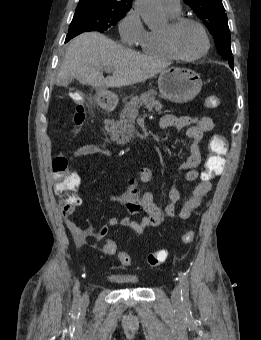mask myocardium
Instances as JSON below:
<instances>
[{
  "instance_id": "f54148a6",
  "label": "myocardium",
  "mask_w": 261,
  "mask_h": 340,
  "mask_svg": "<svg viewBox=\"0 0 261 340\" xmlns=\"http://www.w3.org/2000/svg\"><path fill=\"white\" fill-rule=\"evenodd\" d=\"M188 23L194 24L195 26L199 28L205 41L203 50L200 53L193 55V56H185L179 53V51L175 47V42H174L175 32L180 27ZM162 40H163L166 50L169 52V54L173 58H176L178 60L185 61V62H193V61L201 59L209 52L210 46H211L210 37L205 26L199 20L192 18V17H176L172 19L169 25L167 26V29H165L162 32Z\"/></svg>"
}]
</instances>
